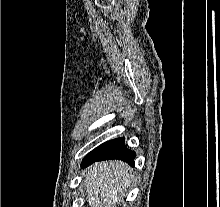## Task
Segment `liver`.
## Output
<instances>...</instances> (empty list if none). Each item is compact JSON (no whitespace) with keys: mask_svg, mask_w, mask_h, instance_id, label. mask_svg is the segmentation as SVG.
Masks as SVG:
<instances>
[{"mask_svg":"<svg viewBox=\"0 0 220 207\" xmlns=\"http://www.w3.org/2000/svg\"><path fill=\"white\" fill-rule=\"evenodd\" d=\"M134 178L131 167L122 161H105L90 166L83 181L89 205L117 207Z\"/></svg>","mask_w":220,"mask_h":207,"instance_id":"1","label":"liver"}]
</instances>
